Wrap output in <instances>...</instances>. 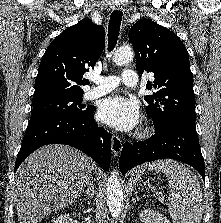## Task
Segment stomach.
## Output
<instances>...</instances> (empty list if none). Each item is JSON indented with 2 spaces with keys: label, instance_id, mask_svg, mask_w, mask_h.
I'll return each instance as SVG.
<instances>
[{
  "label": "stomach",
  "instance_id": "obj_1",
  "mask_svg": "<svg viewBox=\"0 0 221 223\" xmlns=\"http://www.w3.org/2000/svg\"><path fill=\"white\" fill-rule=\"evenodd\" d=\"M141 175H142V170H137V171L133 174L132 178H133L134 181H137V180H139V178L141 177Z\"/></svg>",
  "mask_w": 221,
  "mask_h": 223
}]
</instances>
